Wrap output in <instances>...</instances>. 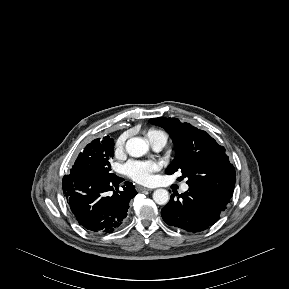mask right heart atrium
Masks as SVG:
<instances>
[{"instance_id":"d8ad5b80","label":"right heart atrium","mask_w":289,"mask_h":289,"mask_svg":"<svg viewBox=\"0 0 289 289\" xmlns=\"http://www.w3.org/2000/svg\"><path fill=\"white\" fill-rule=\"evenodd\" d=\"M124 142H125V135H122L118 138V140L116 142V148L121 149L124 145Z\"/></svg>"}]
</instances>
